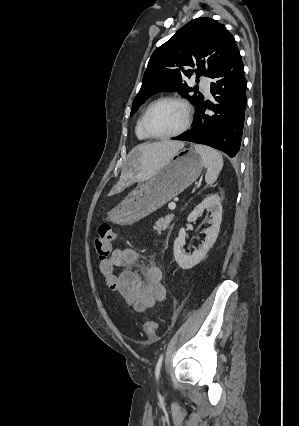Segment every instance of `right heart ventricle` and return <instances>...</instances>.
Here are the masks:
<instances>
[{
  "instance_id": "right-heart-ventricle-1",
  "label": "right heart ventricle",
  "mask_w": 299,
  "mask_h": 426,
  "mask_svg": "<svg viewBox=\"0 0 299 426\" xmlns=\"http://www.w3.org/2000/svg\"><path fill=\"white\" fill-rule=\"evenodd\" d=\"M148 107V106H147ZM147 107H145L136 123V127H135V134L137 136L138 139L140 140H148L149 137L144 133L143 128H142V119L144 116V113L147 109Z\"/></svg>"
}]
</instances>
